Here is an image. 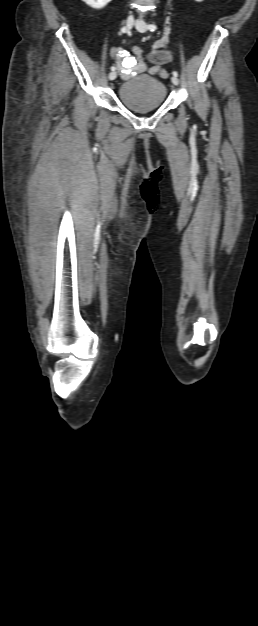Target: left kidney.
<instances>
[{"instance_id": "5707ae66", "label": "left kidney", "mask_w": 258, "mask_h": 626, "mask_svg": "<svg viewBox=\"0 0 258 626\" xmlns=\"http://www.w3.org/2000/svg\"><path fill=\"white\" fill-rule=\"evenodd\" d=\"M196 2H202L203 0H195Z\"/></svg>"}]
</instances>
